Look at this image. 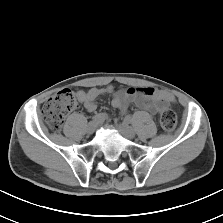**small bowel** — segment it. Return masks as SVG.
Masks as SVG:
<instances>
[{
	"label": "small bowel",
	"mask_w": 223,
	"mask_h": 223,
	"mask_svg": "<svg viewBox=\"0 0 223 223\" xmlns=\"http://www.w3.org/2000/svg\"><path fill=\"white\" fill-rule=\"evenodd\" d=\"M104 94H113L112 106L118 109L121 114L126 113L130 102H134L139 108L153 114L160 112L166 105L175 102L170 93L152 87L117 89L112 85L104 88H91L88 91L80 90L77 92V99L88 112H93L97 108L96 99ZM99 114L103 118L102 121L107 119L106 113Z\"/></svg>",
	"instance_id": "c3829d8e"
}]
</instances>
